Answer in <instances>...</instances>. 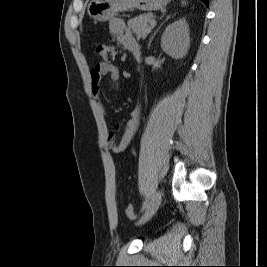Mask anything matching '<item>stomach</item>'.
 Returning a JSON list of instances; mask_svg holds the SVG:
<instances>
[{
  "mask_svg": "<svg viewBox=\"0 0 267 267\" xmlns=\"http://www.w3.org/2000/svg\"><path fill=\"white\" fill-rule=\"evenodd\" d=\"M171 0H91L87 12L89 16L100 22L111 20L118 12L139 9L157 11L165 8Z\"/></svg>",
  "mask_w": 267,
  "mask_h": 267,
  "instance_id": "1",
  "label": "stomach"
}]
</instances>
